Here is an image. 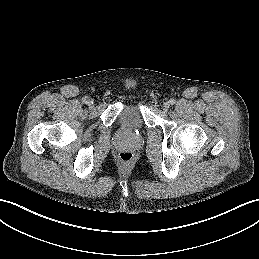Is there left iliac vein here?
Listing matches in <instances>:
<instances>
[{"instance_id": "4c4485c4", "label": "left iliac vein", "mask_w": 259, "mask_h": 259, "mask_svg": "<svg viewBox=\"0 0 259 259\" xmlns=\"http://www.w3.org/2000/svg\"><path fill=\"white\" fill-rule=\"evenodd\" d=\"M169 106H170L169 102H165V103L163 104V106H162L163 111H164V112H167L168 109H169Z\"/></svg>"}]
</instances>
